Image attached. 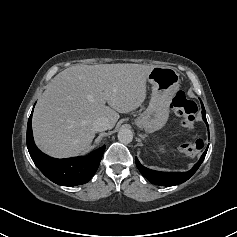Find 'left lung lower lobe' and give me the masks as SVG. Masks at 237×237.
Wrapping results in <instances>:
<instances>
[{
    "mask_svg": "<svg viewBox=\"0 0 237 237\" xmlns=\"http://www.w3.org/2000/svg\"><path fill=\"white\" fill-rule=\"evenodd\" d=\"M201 106H202V117L208 127V123L205 116L206 114L205 108L202 102H201ZM207 150H208V147L202 154L200 160L194 165V167L190 171H187V172H159V171L151 170L144 167L143 165H141V163L138 161L137 158L135 159V161H136V166L139 169V171L151 183L155 185H162V186H173V185H177V184H181L185 182L197 171V169L200 167L201 163L203 162L206 156Z\"/></svg>",
    "mask_w": 237,
    "mask_h": 237,
    "instance_id": "obj_1",
    "label": "left lung lower lobe"
}]
</instances>
